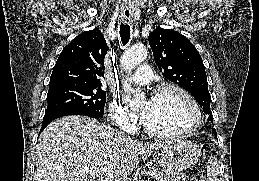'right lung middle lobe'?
Wrapping results in <instances>:
<instances>
[{
    "label": "right lung middle lobe",
    "instance_id": "obj_1",
    "mask_svg": "<svg viewBox=\"0 0 259 181\" xmlns=\"http://www.w3.org/2000/svg\"><path fill=\"white\" fill-rule=\"evenodd\" d=\"M43 122L67 112H87L103 116L106 92L100 86L60 84L49 86Z\"/></svg>",
    "mask_w": 259,
    "mask_h": 181
}]
</instances>
